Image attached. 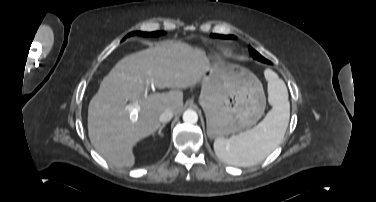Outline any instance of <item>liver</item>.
<instances>
[{"instance_id": "liver-1", "label": "liver", "mask_w": 376, "mask_h": 202, "mask_svg": "<svg viewBox=\"0 0 376 202\" xmlns=\"http://www.w3.org/2000/svg\"><path fill=\"white\" fill-rule=\"evenodd\" d=\"M209 66L203 50L173 41L117 62L88 107V134L96 151L116 167H132L135 144L160 127L159 117L166 109L178 114L183 107L180 90L145 97L146 82L159 89L194 87ZM128 101L136 105L135 113L129 110Z\"/></svg>"}]
</instances>
